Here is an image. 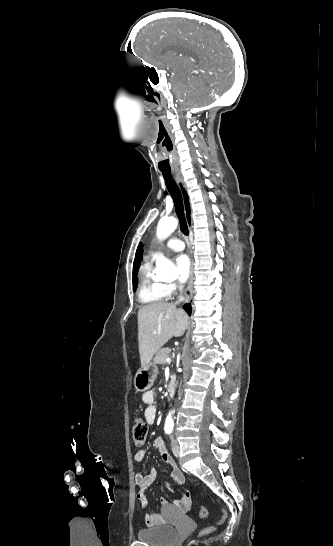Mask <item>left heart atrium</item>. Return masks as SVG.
Masks as SVG:
<instances>
[{
  "mask_svg": "<svg viewBox=\"0 0 333 546\" xmlns=\"http://www.w3.org/2000/svg\"><path fill=\"white\" fill-rule=\"evenodd\" d=\"M175 267L178 275V279L181 282H184L189 277L191 272V261L189 257L185 254H180L175 258Z\"/></svg>",
  "mask_w": 333,
  "mask_h": 546,
  "instance_id": "1",
  "label": "left heart atrium"
}]
</instances>
